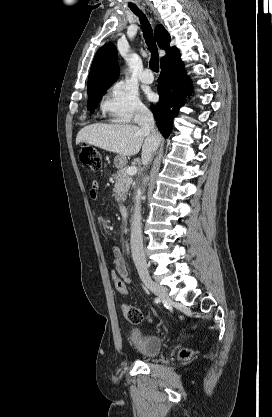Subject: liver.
I'll use <instances>...</instances> for the list:
<instances>
[{
    "instance_id": "6515ba94",
    "label": "liver",
    "mask_w": 272,
    "mask_h": 417,
    "mask_svg": "<svg viewBox=\"0 0 272 417\" xmlns=\"http://www.w3.org/2000/svg\"><path fill=\"white\" fill-rule=\"evenodd\" d=\"M161 137L152 136L136 125L92 124L77 134L76 144L86 142L123 156L136 155L142 147V164L148 165L158 148Z\"/></svg>"
}]
</instances>
